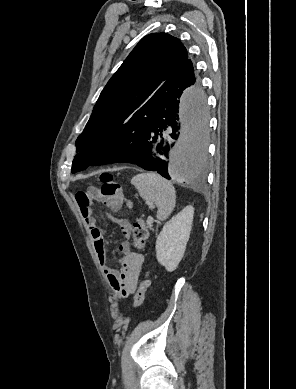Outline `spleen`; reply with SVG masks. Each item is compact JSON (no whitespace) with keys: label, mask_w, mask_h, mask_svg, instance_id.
<instances>
[{"label":"spleen","mask_w":296,"mask_h":389,"mask_svg":"<svg viewBox=\"0 0 296 389\" xmlns=\"http://www.w3.org/2000/svg\"><path fill=\"white\" fill-rule=\"evenodd\" d=\"M131 184L144 200L155 203L160 222L171 215L176 204V191L170 181L156 173H141L131 179Z\"/></svg>","instance_id":"3e777b00"}]
</instances>
